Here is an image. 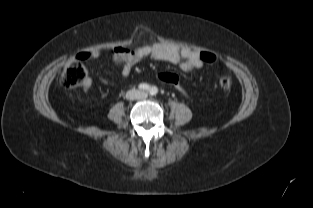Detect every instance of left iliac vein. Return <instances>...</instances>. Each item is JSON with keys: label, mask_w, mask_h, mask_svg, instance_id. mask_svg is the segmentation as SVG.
Segmentation results:
<instances>
[{"label": "left iliac vein", "mask_w": 313, "mask_h": 208, "mask_svg": "<svg viewBox=\"0 0 313 208\" xmlns=\"http://www.w3.org/2000/svg\"><path fill=\"white\" fill-rule=\"evenodd\" d=\"M147 96H148V94L146 92H139L138 98L139 99H146Z\"/></svg>", "instance_id": "obj_1"}]
</instances>
